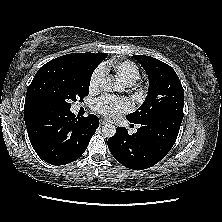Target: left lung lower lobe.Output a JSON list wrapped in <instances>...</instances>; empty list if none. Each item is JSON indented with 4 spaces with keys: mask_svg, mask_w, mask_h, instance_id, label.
Wrapping results in <instances>:
<instances>
[{
    "mask_svg": "<svg viewBox=\"0 0 222 222\" xmlns=\"http://www.w3.org/2000/svg\"><path fill=\"white\" fill-rule=\"evenodd\" d=\"M182 119L169 115L157 116L137 123L141 127L133 135H129L125 127H117L116 134L108 139V148L125 167L134 170L149 168L170 151L177 139Z\"/></svg>",
    "mask_w": 222,
    "mask_h": 222,
    "instance_id": "obj_1",
    "label": "left lung lower lobe"
}]
</instances>
